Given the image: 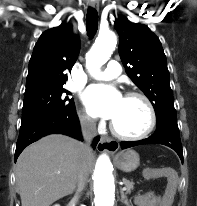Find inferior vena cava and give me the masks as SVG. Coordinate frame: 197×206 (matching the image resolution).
<instances>
[{"label":"inferior vena cava","mask_w":197,"mask_h":206,"mask_svg":"<svg viewBox=\"0 0 197 206\" xmlns=\"http://www.w3.org/2000/svg\"><path fill=\"white\" fill-rule=\"evenodd\" d=\"M81 131L84 138V143L82 144L83 153L87 154L91 152V142L97 135L96 122L90 117H82L80 119ZM87 165L84 156L82 157L81 163L77 172V191L76 196L84 190L87 183Z\"/></svg>","instance_id":"obj_1"}]
</instances>
